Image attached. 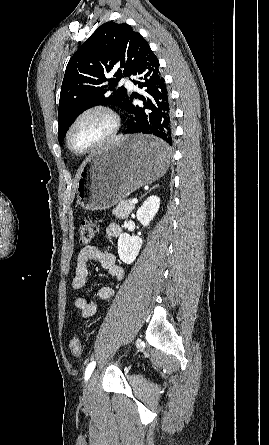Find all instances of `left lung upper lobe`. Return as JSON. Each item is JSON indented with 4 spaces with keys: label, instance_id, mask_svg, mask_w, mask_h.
Instances as JSON below:
<instances>
[{
    "label": "left lung upper lobe",
    "instance_id": "1",
    "mask_svg": "<svg viewBox=\"0 0 269 445\" xmlns=\"http://www.w3.org/2000/svg\"><path fill=\"white\" fill-rule=\"evenodd\" d=\"M148 47L130 25L106 22L75 52L67 64L60 93V145L70 124L84 110L96 105L124 107L127 90L116 85L123 76L132 74Z\"/></svg>",
    "mask_w": 269,
    "mask_h": 445
}]
</instances>
